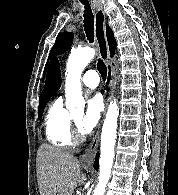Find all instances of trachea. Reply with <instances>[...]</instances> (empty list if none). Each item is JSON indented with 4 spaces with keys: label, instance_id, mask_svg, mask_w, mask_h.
I'll return each mask as SVG.
<instances>
[{
    "label": "trachea",
    "instance_id": "3493384b",
    "mask_svg": "<svg viewBox=\"0 0 178 195\" xmlns=\"http://www.w3.org/2000/svg\"><path fill=\"white\" fill-rule=\"evenodd\" d=\"M80 2L84 5V20H83V27L87 36V39L90 43L94 42V16L90 7L88 0H80ZM97 69L101 74L103 81L106 80L107 77V68L104 62L99 59L97 63Z\"/></svg>",
    "mask_w": 178,
    "mask_h": 195
}]
</instances>
